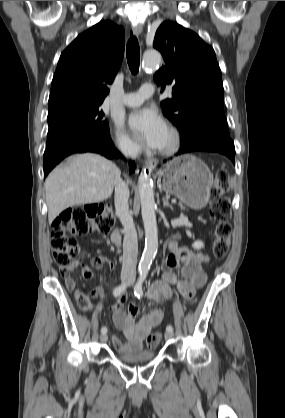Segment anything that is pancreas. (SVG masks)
Instances as JSON below:
<instances>
[{
	"instance_id": "pancreas-1",
	"label": "pancreas",
	"mask_w": 285,
	"mask_h": 418,
	"mask_svg": "<svg viewBox=\"0 0 285 418\" xmlns=\"http://www.w3.org/2000/svg\"><path fill=\"white\" fill-rule=\"evenodd\" d=\"M179 206H180L181 208H183L182 204H179Z\"/></svg>"
}]
</instances>
